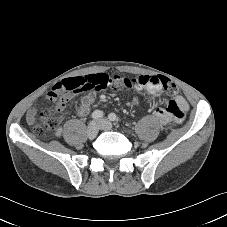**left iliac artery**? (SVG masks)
I'll return each instance as SVG.
<instances>
[{
  "mask_svg": "<svg viewBox=\"0 0 227 227\" xmlns=\"http://www.w3.org/2000/svg\"><path fill=\"white\" fill-rule=\"evenodd\" d=\"M108 118L113 122H116V123L118 122V117L115 113H110Z\"/></svg>",
  "mask_w": 227,
  "mask_h": 227,
  "instance_id": "left-iliac-artery-1",
  "label": "left iliac artery"
}]
</instances>
